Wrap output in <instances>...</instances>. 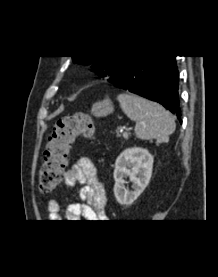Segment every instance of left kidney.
I'll list each match as a JSON object with an SVG mask.
<instances>
[{"mask_svg":"<svg viewBox=\"0 0 218 277\" xmlns=\"http://www.w3.org/2000/svg\"><path fill=\"white\" fill-rule=\"evenodd\" d=\"M153 168V156L147 149L128 148L116 159L114 169V195L121 205L132 204L149 184ZM129 177L133 191L125 189L124 178Z\"/></svg>","mask_w":218,"mask_h":277,"instance_id":"1","label":"left kidney"}]
</instances>
